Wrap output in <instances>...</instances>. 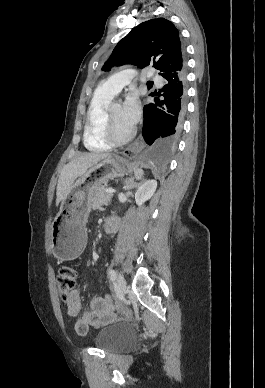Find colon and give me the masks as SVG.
I'll list each match as a JSON object with an SVG mask.
<instances>
[{"instance_id":"1","label":"colon","mask_w":265,"mask_h":388,"mask_svg":"<svg viewBox=\"0 0 265 388\" xmlns=\"http://www.w3.org/2000/svg\"><path fill=\"white\" fill-rule=\"evenodd\" d=\"M76 278V270L71 266H63L59 271L57 277V287L61 298L66 302L75 287ZM104 300L109 306L113 305L112 296L107 295Z\"/></svg>"}]
</instances>
